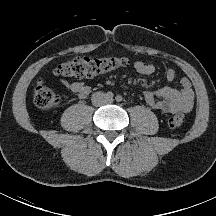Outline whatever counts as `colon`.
Returning <instances> with one entry per match:
<instances>
[{"label":"colon","instance_id":"5ec220e1","mask_svg":"<svg viewBox=\"0 0 216 216\" xmlns=\"http://www.w3.org/2000/svg\"><path fill=\"white\" fill-rule=\"evenodd\" d=\"M128 64L126 58L109 57H77L58 65L54 69L57 76L74 78H91L100 74L125 67ZM59 102V96L52 91L42 79H38L34 89V103L42 110H50ZM185 115L178 113L168 121V126L177 130L183 127Z\"/></svg>","mask_w":216,"mask_h":216}]
</instances>
